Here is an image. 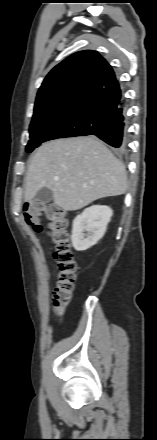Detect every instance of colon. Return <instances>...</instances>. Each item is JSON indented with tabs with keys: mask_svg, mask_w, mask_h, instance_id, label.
Listing matches in <instances>:
<instances>
[{
	"mask_svg": "<svg viewBox=\"0 0 157 440\" xmlns=\"http://www.w3.org/2000/svg\"><path fill=\"white\" fill-rule=\"evenodd\" d=\"M23 216L27 225L35 231L42 229V217L47 218V232L54 245L53 257L58 266L53 305L55 313L62 314L72 298L77 270L71 250L67 213L54 204L32 200L24 204Z\"/></svg>",
	"mask_w": 157,
	"mask_h": 440,
	"instance_id": "obj_1",
	"label": "colon"
}]
</instances>
